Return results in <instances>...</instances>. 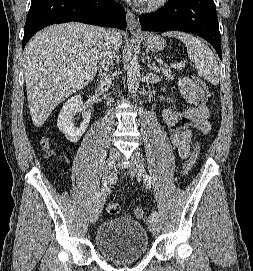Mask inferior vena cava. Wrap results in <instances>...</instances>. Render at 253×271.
I'll return each instance as SVG.
<instances>
[{
	"label": "inferior vena cava",
	"mask_w": 253,
	"mask_h": 271,
	"mask_svg": "<svg viewBox=\"0 0 253 271\" xmlns=\"http://www.w3.org/2000/svg\"><path fill=\"white\" fill-rule=\"evenodd\" d=\"M104 43L102 44L101 52L99 55L100 66L103 70L100 72V85L108 90L111 84V78L108 76L107 71L113 65L114 51L111 44V32L103 29Z\"/></svg>",
	"instance_id": "602c4592"
}]
</instances>
